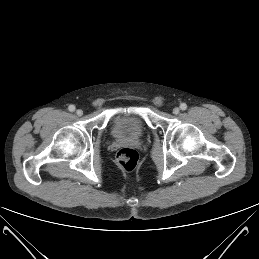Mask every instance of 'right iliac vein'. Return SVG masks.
I'll return each mask as SVG.
<instances>
[{"mask_svg": "<svg viewBox=\"0 0 259 259\" xmlns=\"http://www.w3.org/2000/svg\"><path fill=\"white\" fill-rule=\"evenodd\" d=\"M76 114H77L78 116H81V115L83 114V111H82L81 109H78V110L76 111Z\"/></svg>", "mask_w": 259, "mask_h": 259, "instance_id": "1", "label": "right iliac vein"}]
</instances>
